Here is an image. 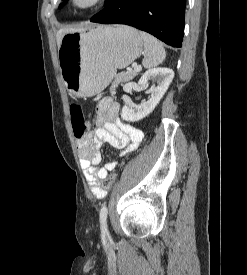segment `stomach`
Here are the masks:
<instances>
[{
	"label": "stomach",
	"instance_id": "obj_1",
	"mask_svg": "<svg viewBox=\"0 0 247 275\" xmlns=\"http://www.w3.org/2000/svg\"><path fill=\"white\" fill-rule=\"evenodd\" d=\"M138 31L125 25L96 26L62 37L59 66L67 90L75 97L102 92L116 75L143 51Z\"/></svg>",
	"mask_w": 247,
	"mask_h": 275
}]
</instances>
